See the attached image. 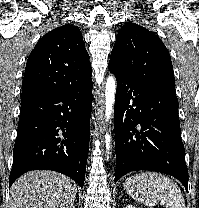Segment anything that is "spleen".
<instances>
[{
    "instance_id": "3e777b00",
    "label": "spleen",
    "mask_w": 199,
    "mask_h": 208,
    "mask_svg": "<svg viewBox=\"0 0 199 208\" xmlns=\"http://www.w3.org/2000/svg\"><path fill=\"white\" fill-rule=\"evenodd\" d=\"M124 187L133 199L146 206L153 207L161 202L165 208H185L180 188L164 175L142 172L127 178Z\"/></svg>"
}]
</instances>
